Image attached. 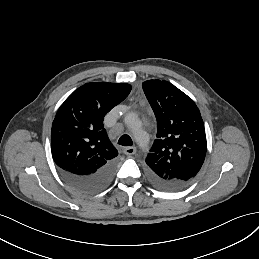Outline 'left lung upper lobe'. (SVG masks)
Instances as JSON below:
<instances>
[{
  "instance_id": "left-lung-upper-lobe-1",
  "label": "left lung upper lobe",
  "mask_w": 259,
  "mask_h": 259,
  "mask_svg": "<svg viewBox=\"0 0 259 259\" xmlns=\"http://www.w3.org/2000/svg\"><path fill=\"white\" fill-rule=\"evenodd\" d=\"M157 120V139L147 155L148 173L165 182H190L203 165L207 141L199 109L167 81L142 83Z\"/></svg>"
}]
</instances>
